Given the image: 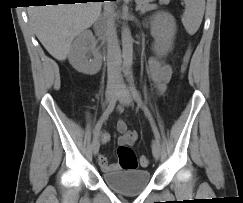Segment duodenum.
Masks as SVG:
<instances>
[{
	"mask_svg": "<svg viewBox=\"0 0 243 203\" xmlns=\"http://www.w3.org/2000/svg\"><path fill=\"white\" fill-rule=\"evenodd\" d=\"M94 30L96 31V33L101 34L102 31H103L102 23L101 22H97L95 27H94Z\"/></svg>",
	"mask_w": 243,
	"mask_h": 203,
	"instance_id": "410a0bca",
	"label": "duodenum"
}]
</instances>
